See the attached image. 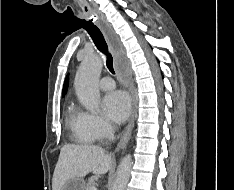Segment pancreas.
I'll return each mask as SVG.
<instances>
[{
    "label": "pancreas",
    "instance_id": "pancreas-1",
    "mask_svg": "<svg viewBox=\"0 0 234 190\" xmlns=\"http://www.w3.org/2000/svg\"><path fill=\"white\" fill-rule=\"evenodd\" d=\"M95 186V179L93 177L89 178L85 190H91Z\"/></svg>",
    "mask_w": 234,
    "mask_h": 190
}]
</instances>
